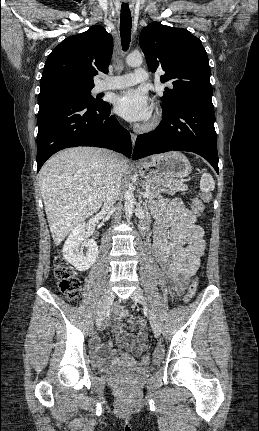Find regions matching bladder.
Returning a JSON list of instances; mask_svg holds the SVG:
<instances>
[{
	"mask_svg": "<svg viewBox=\"0 0 259 431\" xmlns=\"http://www.w3.org/2000/svg\"><path fill=\"white\" fill-rule=\"evenodd\" d=\"M127 366H128V364H126V363H117V364H114L111 366L104 367L103 370L105 372H115V371H118V370L125 368ZM150 369L151 368H146V370H150Z\"/></svg>",
	"mask_w": 259,
	"mask_h": 431,
	"instance_id": "1",
	"label": "bladder"
}]
</instances>
